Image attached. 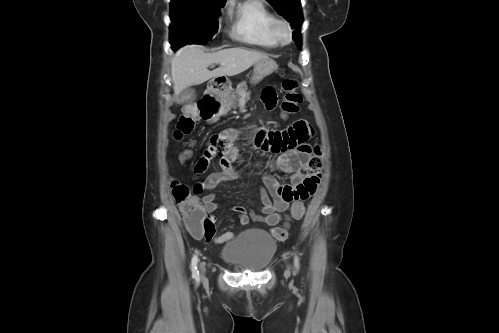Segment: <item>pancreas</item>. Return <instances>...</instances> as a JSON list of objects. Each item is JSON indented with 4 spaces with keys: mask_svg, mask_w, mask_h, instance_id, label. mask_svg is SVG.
<instances>
[{
    "mask_svg": "<svg viewBox=\"0 0 499 333\" xmlns=\"http://www.w3.org/2000/svg\"><path fill=\"white\" fill-rule=\"evenodd\" d=\"M247 90L246 81H242L238 84L237 88L234 89H226L221 93V101H222V111L223 113H227L232 108H237L238 102L243 97V94Z\"/></svg>",
    "mask_w": 499,
    "mask_h": 333,
    "instance_id": "pancreas-1",
    "label": "pancreas"
}]
</instances>
